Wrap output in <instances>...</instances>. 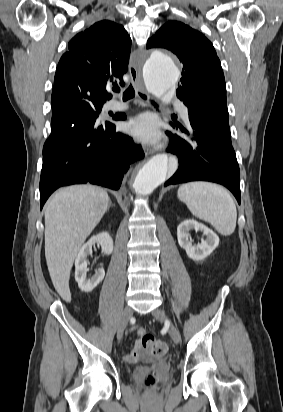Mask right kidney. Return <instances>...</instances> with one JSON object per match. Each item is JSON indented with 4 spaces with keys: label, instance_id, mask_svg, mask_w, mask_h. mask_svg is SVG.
I'll return each mask as SVG.
<instances>
[{
    "label": "right kidney",
    "instance_id": "obj_1",
    "mask_svg": "<svg viewBox=\"0 0 283 412\" xmlns=\"http://www.w3.org/2000/svg\"><path fill=\"white\" fill-rule=\"evenodd\" d=\"M97 243L101 246L102 252L109 255L113 251V240L107 232L100 233L91 237L87 243H85L75 260V280L78 283V287L81 291L91 292L105 276L103 268L96 270L95 274L87 278V257L92 254V246Z\"/></svg>",
    "mask_w": 283,
    "mask_h": 412
}]
</instances>
